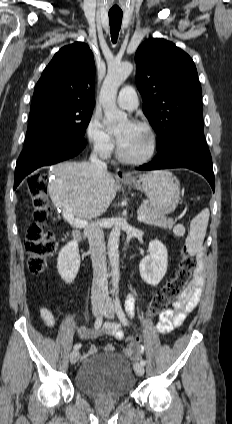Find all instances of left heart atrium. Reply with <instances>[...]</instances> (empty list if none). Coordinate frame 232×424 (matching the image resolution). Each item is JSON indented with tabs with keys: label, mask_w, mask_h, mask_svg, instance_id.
Returning a JSON list of instances; mask_svg holds the SVG:
<instances>
[{
	"label": "left heart atrium",
	"mask_w": 232,
	"mask_h": 424,
	"mask_svg": "<svg viewBox=\"0 0 232 424\" xmlns=\"http://www.w3.org/2000/svg\"><path fill=\"white\" fill-rule=\"evenodd\" d=\"M130 124H132V123H130ZM125 134H126V132H125V133H122L121 135H119V136L117 137V140H118V143H119V144H121V143L123 142V140H124V138H125Z\"/></svg>",
	"instance_id": "39dd6f15"
}]
</instances>
